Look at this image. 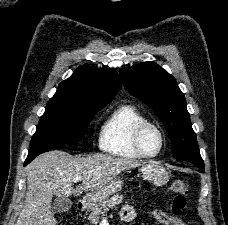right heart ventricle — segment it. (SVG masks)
Here are the masks:
<instances>
[{
    "label": "right heart ventricle",
    "mask_w": 228,
    "mask_h": 225,
    "mask_svg": "<svg viewBox=\"0 0 228 225\" xmlns=\"http://www.w3.org/2000/svg\"><path fill=\"white\" fill-rule=\"evenodd\" d=\"M146 121L148 120L145 115L133 104H122L116 107L100 130V149L117 157L143 158L136 149L134 136L137 128Z\"/></svg>",
    "instance_id": "e07e8e85"
}]
</instances>
